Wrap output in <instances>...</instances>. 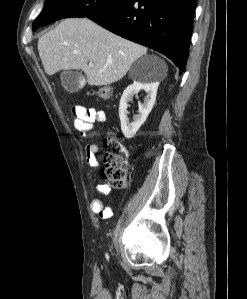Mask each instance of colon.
<instances>
[{
    "mask_svg": "<svg viewBox=\"0 0 247 299\" xmlns=\"http://www.w3.org/2000/svg\"><path fill=\"white\" fill-rule=\"evenodd\" d=\"M90 95L96 96L103 100L111 99L113 91L110 87H100L96 90H91ZM104 146V167L101 170V175L114 188H123L126 184V157L127 149L121 141L110 135L105 138Z\"/></svg>",
    "mask_w": 247,
    "mask_h": 299,
    "instance_id": "5ec220e1",
    "label": "colon"
}]
</instances>
